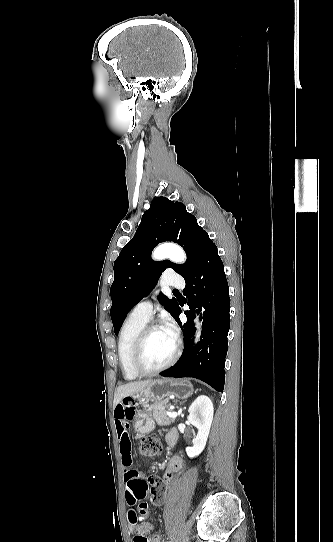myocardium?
Returning a JSON list of instances; mask_svg holds the SVG:
<instances>
[{
	"mask_svg": "<svg viewBox=\"0 0 333 542\" xmlns=\"http://www.w3.org/2000/svg\"><path fill=\"white\" fill-rule=\"evenodd\" d=\"M159 328L160 327L158 325H146L141 330V332L138 334V336H137V338H136V340H135V342L133 344V347H132V350H131V359H130V361H131L132 369L138 375H142V376L155 375V374L167 369L171 365H173L177 361V359H178V357L180 355L181 341H180V339L177 338L176 341H175L174 351H173L172 355L170 356V358L166 362H164L160 366H157V367L152 368V369L145 368L142 365V356H143L144 347H145L147 338H148L149 334L153 330H156V329H159Z\"/></svg>",
	"mask_w": 333,
	"mask_h": 542,
	"instance_id": "1",
	"label": "myocardium"
}]
</instances>
